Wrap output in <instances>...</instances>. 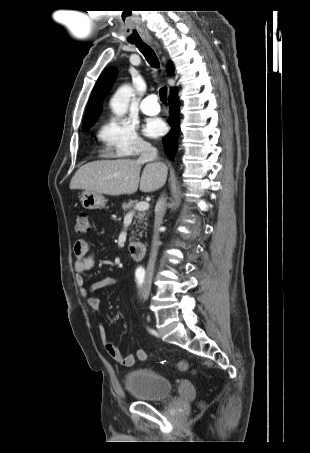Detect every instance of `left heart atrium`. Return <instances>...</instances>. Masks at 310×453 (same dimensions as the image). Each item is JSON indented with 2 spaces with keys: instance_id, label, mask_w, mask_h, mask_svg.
Instances as JSON below:
<instances>
[{
  "instance_id": "1",
  "label": "left heart atrium",
  "mask_w": 310,
  "mask_h": 453,
  "mask_svg": "<svg viewBox=\"0 0 310 453\" xmlns=\"http://www.w3.org/2000/svg\"><path fill=\"white\" fill-rule=\"evenodd\" d=\"M165 130V125L162 120L154 119L147 123L145 126V134L149 137H157L163 134Z\"/></svg>"
}]
</instances>
